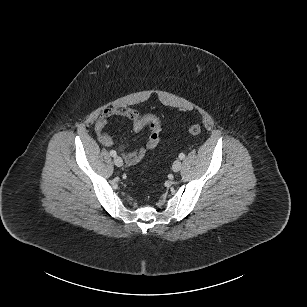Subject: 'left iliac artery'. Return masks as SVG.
I'll use <instances>...</instances> for the list:
<instances>
[{"label": "left iliac artery", "mask_w": 307, "mask_h": 307, "mask_svg": "<svg viewBox=\"0 0 307 307\" xmlns=\"http://www.w3.org/2000/svg\"><path fill=\"white\" fill-rule=\"evenodd\" d=\"M185 158V154L184 153H180L179 154V159L183 160Z\"/></svg>", "instance_id": "obj_1"}]
</instances>
